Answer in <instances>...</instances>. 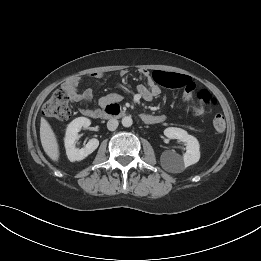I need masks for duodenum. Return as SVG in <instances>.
Instances as JSON below:
<instances>
[{"label": "duodenum", "mask_w": 261, "mask_h": 261, "mask_svg": "<svg viewBox=\"0 0 261 261\" xmlns=\"http://www.w3.org/2000/svg\"><path fill=\"white\" fill-rule=\"evenodd\" d=\"M124 115V111L117 103H108L103 109L101 110H94L89 113L88 116L93 118H103V117H117ZM142 120L146 123H149L150 120L148 116L143 115Z\"/></svg>", "instance_id": "410a0bca"}]
</instances>
